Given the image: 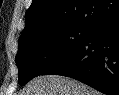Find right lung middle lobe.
<instances>
[{"label":"right lung middle lobe","mask_w":119,"mask_h":95,"mask_svg":"<svg viewBox=\"0 0 119 95\" xmlns=\"http://www.w3.org/2000/svg\"><path fill=\"white\" fill-rule=\"evenodd\" d=\"M92 29L81 25L47 27L19 39L15 61L19 68V84L42 75L77 46Z\"/></svg>","instance_id":"obj_1"}]
</instances>
